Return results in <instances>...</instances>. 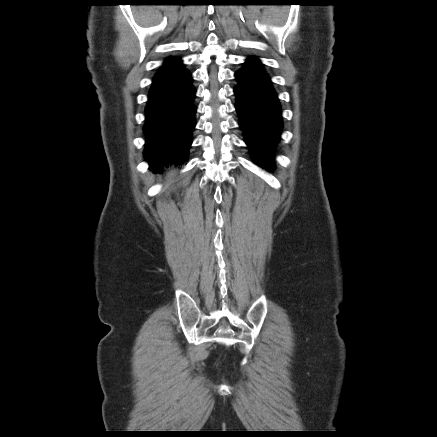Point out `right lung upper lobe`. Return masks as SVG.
<instances>
[{"mask_svg":"<svg viewBox=\"0 0 437 437\" xmlns=\"http://www.w3.org/2000/svg\"><path fill=\"white\" fill-rule=\"evenodd\" d=\"M172 58H174V57H169V58L166 59V61L169 60V59H172Z\"/></svg>","mask_w":437,"mask_h":437,"instance_id":"1","label":"right lung upper lobe"}]
</instances>
